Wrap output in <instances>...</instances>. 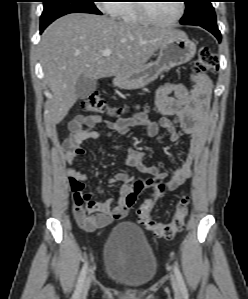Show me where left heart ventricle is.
<instances>
[{"label": "left heart ventricle", "instance_id": "obj_1", "mask_svg": "<svg viewBox=\"0 0 248 299\" xmlns=\"http://www.w3.org/2000/svg\"><path fill=\"white\" fill-rule=\"evenodd\" d=\"M149 10L160 20H170L177 16L179 12L178 1L153 2L149 5Z\"/></svg>", "mask_w": 248, "mask_h": 299}]
</instances>
